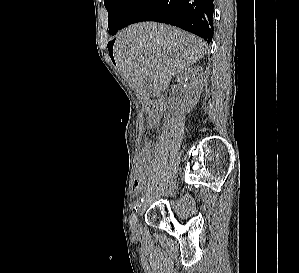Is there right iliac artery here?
<instances>
[{
    "mask_svg": "<svg viewBox=\"0 0 299 273\" xmlns=\"http://www.w3.org/2000/svg\"><path fill=\"white\" fill-rule=\"evenodd\" d=\"M142 202H143V198H139V199H137V200L135 201V203H134V209H135L136 211L138 210V208L141 207Z\"/></svg>",
    "mask_w": 299,
    "mask_h": 273,
    "instance_id": "right-iliac-artery-1",
    "label": "right iliac artery"
}]
</instances>
